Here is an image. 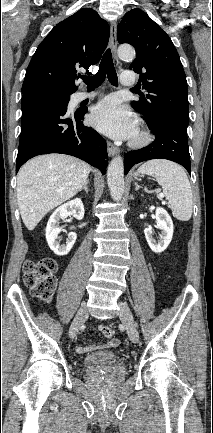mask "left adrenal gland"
<instances>
[{"instance_id":"1","label":"left adrenal gland","mask_w":213,"mask_h":433,"mask_svg":"<svg viewBox=\"0 0 213 433\" xmlns=\"http://www.w3.org/2000/svg\"><path fill=\"white\" fill-rule=\"evenodd\" d=\"M139 188L140 186L137 183H135V191L139 190Z\"/></svg>"}]
</instances>
